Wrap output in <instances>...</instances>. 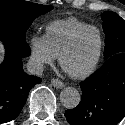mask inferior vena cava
Instances as JSON below:
<instances>
[{
  "label": "inferior vena cava",
  "instance_id": "inferior-vena-cava-1",
  "mask_svg": "<svg viewBox=\"0 0 125 125\" xmlns=\"http://www.w3.org/2000/svg\"><path fill=\"white\" fill-rule=\"evenodd\" d=\"M43 64L37 60H29L27 63V71L30 75L41 76L43 73Z\"/></svg>",
  "mask_w": 125,
  "mask_h": 125
}]
</instances>
